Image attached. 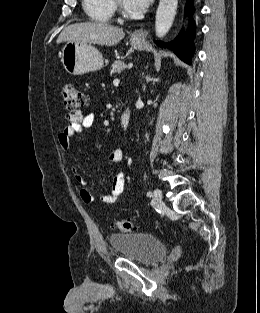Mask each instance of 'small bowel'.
<instances>
[{"label": "small bowel", "mask_w": 260, "mask_h": 313, "mask_svg": "<svg viewBox=\"0 0 260 313\" xmlns=\"http://www.w3.org/2000/svg\"><path fill=\"white\" fill-rule=\"evenodd\" d=\"M68 125L65 126L62 131L57 136V142L60 148L63 150H68L70 147L71 139L75 135L82 134L85 130L94 126L96 122L95 115L92 113H83L80 110L70 112L66 115ZM124 159V152L122 149H116L112 151L108 160L111 163H120ZM72 171L76 182L81 186L79 194L82 201L86 204H92L95 202V198L92 195L91 191L87 187V183L81 173L78 170V167L72 163ZM125 190V175L120 172L118 173L114 180L112 190L109 194L104 195L100 198V202L104 204L115 203L124 193Z\"/></svg>", "instance_id": "1"}]
</instances>
